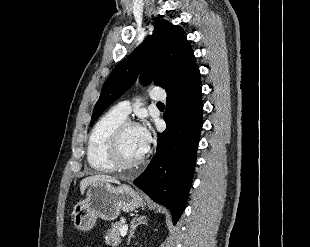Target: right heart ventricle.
Wrapping results in <instances>:
<instances>
[{
  "label": "right heart ventricle",
  "mask_w": 310,
  "mask_h": 247,
  "mask_svg": "<svg viewBox=\"0 0 310 247\" xmlns=\"http://www.w3.org/2000/svg\"><path fill=\"white\" fill-rule=\"evenodd\" d=\"M126 117L112 108L102 115L93 126L87 144V160L90 167L97 172H111L113 166L107 157L110 137L115 128Z\"/></svg>",
  "instance_id": "right-heart-ventricle-1"
}]
</instances>
